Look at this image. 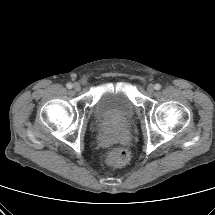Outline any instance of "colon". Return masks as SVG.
Wrapping results in <instances>:
<instances>
[{
    "label": "colon",
    "mask_w": 215,
    "mask_h": 215,
    "mask_svg": "<svg viewBox=\"0 0 215 215\" xmlns=\"http://www.w3.org/2000/svg\"><path fill=\"white\" fill-rule=\"evenodd\" d=\"M129 160V152L123 147H114L107 153V162L113 166H122Z\"/></svg>",
    "instance_id": "obj_1"
}]
</instances>
